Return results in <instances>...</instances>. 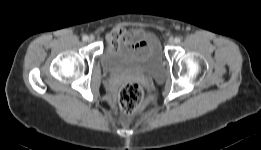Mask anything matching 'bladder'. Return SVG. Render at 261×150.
<instances>
[{"label":"bladder","instance_id":"obj_1","mask_svg":"<svg viewBox=\"0 0 261 150\" xmlns=\"http://www.w3.org/2000/svg\"><path fill=\"white\" fill-rule=\"evenodd\" d=\"M137 34L145 45L110 44L101 54L102 69L106 72L137 71L161 79L165 73V63L157 36L146 30H138Z\"/></svg>","mask_w":261,"mask_h":150}]
</instances>
